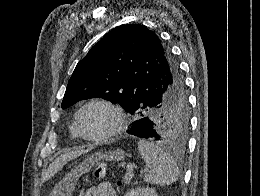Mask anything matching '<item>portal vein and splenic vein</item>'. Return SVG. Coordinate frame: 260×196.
Masks as SVG:
<instances>
[{
  "instance_id": "portal-vein-and-splenic-vein-1",
  "label": "portal vein and splenic vein",
  "mask_w": 260,
  "mask_h": 196,
  "mask_svg": "<svg viewBox=\"0 0 260 196\" xmlns=\"http://www.w3.org/2000/svg\"><path fill=\"white\" fill-rule=\"evenodd\" d=\"M133 168H137V166H134V164H127L128 174H131V176H133ZM143 172H146V170H142L141 174H143Z\"/></svg>"
}]
</instances>
